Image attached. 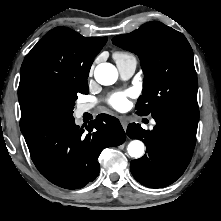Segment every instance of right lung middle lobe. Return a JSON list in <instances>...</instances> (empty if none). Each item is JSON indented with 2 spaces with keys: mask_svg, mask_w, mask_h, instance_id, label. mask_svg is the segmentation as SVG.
<instances>
[{
  "mask_svg": "<svg viewBox=\"0 0 221 221\" xmlns=\"http://www.w3.org/2000/svg\"><path fill=\"white\" fill-rule=\"evenodd\" d=\"M87 79L82 82L67 81L57 90L41 96L35 104L36 119L67 117L73 113L77 95L88 94Z\"/></svg>",
  "mask_w": 221,
  "mask_h": 221,
  "instance_id": "obj_1",
  "label": "right lung middle lobe"
}]
</instances>
